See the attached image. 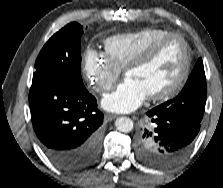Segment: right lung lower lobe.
I'll return each instance as SVG.
<instances>
[{"label":"right lung lower lobe","instance_id":"obj_1","mask_svg":"<svg viewBox=\"0 0 223 188\" xmlns=\"http://www.w3.org/2000/svg\"><path fill=\"white\" fill-rule=\"evenodd\" d=\"M29 105L40 146L54 165L75 172L94 163L104 117L94 96L63 82L33 78Z\"/></svg>","mask_w":223,"mask_h":188}]
</instances>
